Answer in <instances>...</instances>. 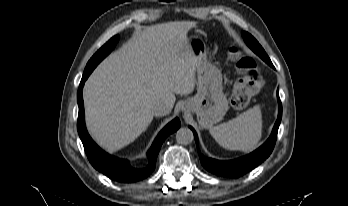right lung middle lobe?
I'll use <instances>...</instances> for the list:
<instances>
[{"label": "right lung middle lobe", "mask_w": 348, "mask_h": 206, "mask_svg": "<svg viewBox=\"0 0 348 206\" xmlns=\"http://www.w3.org/2000/svg\"><path fill=\"white\" fill-rule=\"evenodd\" d=\"M119 40V36L116 35L113 38H111L105 45H103L91 58L93 59L94 57H106L115 47L117 41ZM90 59V60H91ZM89 60V61H90Z\"/></svg>", "instance_id": "1"}]
</instances>
